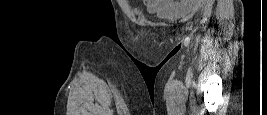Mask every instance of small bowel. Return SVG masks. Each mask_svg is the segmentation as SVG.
<instances>
[{
	"instance_id": "small-bowel-1",
	"label": "small bowel",
	"mask_w": 267,
	"mask_h": 115,
	"mask_svg": "<svg viewBox=\"0 0 267 115\" xmlns=\"http://www.w3.org/2000/svg\"><path fill=\"white\" fill-rule=\"evenodd\" d=\"M147 9L162 17H184L197 8V1L194 0H145Z\"/></svg>"
}]
</instances>
